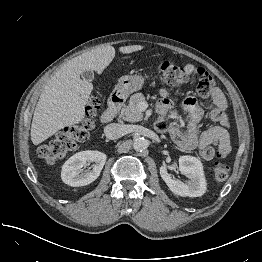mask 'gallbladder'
<instances>
[{
	"instance_id": "gallbladder-1",
	"label": "gallbladder",
	"mask_w": 262,
	"mask_h": 262,
	"mask_svg": "<svg viewBox=\"0 0 262 262\" xmlns=\"http://www.w3.org/2000/svg\"><path fill=\"white\" fill-rule=\"evenodd\" d=\"M82 78L86 81H93L94 79V72L92 70H85L81 74Z\"/></svg>"
}]
</instances>
